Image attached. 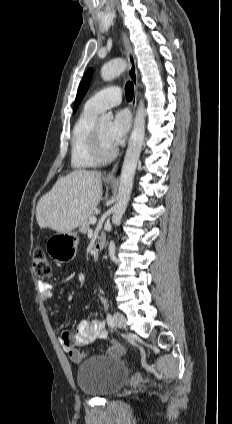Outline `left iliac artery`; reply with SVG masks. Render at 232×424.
<instances>
[{"label": "left iliac artery", "mask_w": 232, "mask_h": 424, "mask_svg": "<svg viewBox=\"0 0 232 424\" xmlns=\"http://www.w3.org/2000/svg\"><path fill=\"white\" fill-rule=\"evenodd\" d=\"M107 324L109 327L114 328L115 324H114V319L111 316V314H107Z\"/></svg>", "instance_id": "left-iliac-artery-1"}]
</instances>
